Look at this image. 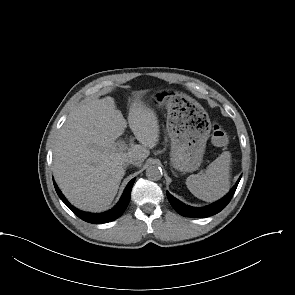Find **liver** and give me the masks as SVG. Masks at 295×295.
<instances>
[{
	"label": "liver",
	"mask_w": 295,
	"mask_h": 295,
	"mask_svg": "<svg viewBox=\"0 0 295 295\" xmlns=\"http://www.w3.org/2000/svg\"><path fill=\"white\" fill-rule=\"evenodd\" d=\"M146 92H136L129 108V127L140 144L128 152L115 147L127 121L110 96L83 104L71 112L60 129L53 151V173L62 193L78 209H107L125 175L127 156H139L141 166L149 149L158 143L156 113L141 101Z\"/></svg>",
	"instance_id": "1"
}]
</instances>
